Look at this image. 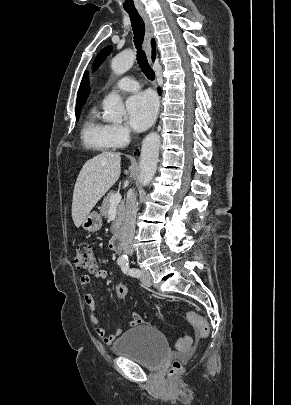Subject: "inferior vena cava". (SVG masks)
Returning <instances> with one entry per match:
<instances>
[{
    "instance_id": "obj_1",
    "label": "inferior vena cava",
    "mask_w": 291,
    "mask_h": 405,
    "mask_svg": "<svg viewBox=\"0 0 291 405\" xmlns=\"http://www.w3.org/2000/svg\"><path fill=\"white\" fill-rule=\"evenodd\" d=\"M137 215V197L136 194H131L126 201L125 221L122 228V248L125 254L132 255L133 238L135 233V223Z\"/></svg>"
}]
</instances>
